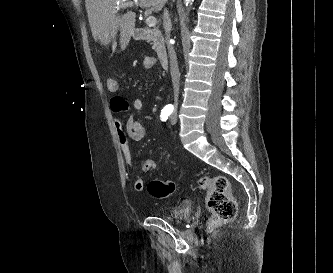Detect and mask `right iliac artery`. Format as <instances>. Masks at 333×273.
<instances>
[{
  "instance_id": "right-iliac-artery-1",
  "label": "right iliac artery",
  "mask_w": 333,
  "mask_h": 273,
  "mask_svg": "<svg viewBox=\"0 0 333 273\" xmlns=\"http://www.w3.org/2000/svg\"><path fill=\"white\" fill-rule=\"evenodd\" d=\"M174 108L173 106L167 105L161 110L160 119L161 121H166L168 117L172 114Z\"/></svg>"
}]
</instances>
